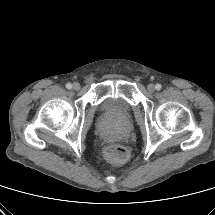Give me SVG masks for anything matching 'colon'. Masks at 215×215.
<instances>
[{"label": "colon", "instance_id": "1", "mask_svg": "<svg viewBox=\"0 0 215 215\" xmlns=\"http://www.w3.org/2000/svg\"><path fill=\"white\" fill-rule=\"evenodd\" d=\"M105 157L115 164H123L129 158L128 150L122 145H110L104 150Z\"/></svg>", "mask_w": 215, "mask_h": 215}]
</instances>
